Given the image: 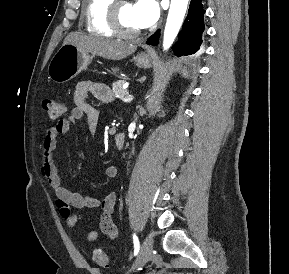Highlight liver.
Here are the masks:
<instances>
[{"label": "liver", "instance_id": "1", "mask_svg": "<svg viewBox=\"0 0 289 274\" xmlns=\"http://www.w3.org/2000/svg\"><path fill=\"white\" fill-rule=\"evenodd\" d=\"M71 43L80 50L93 55L112 60H121L134 53L137 49L136 45L111 41L94 36L80 35L77 33L69 34L64 44Z\"/></svg>", "mask_w": 289, "mask_h": 274}]
</instances>
